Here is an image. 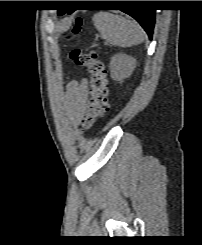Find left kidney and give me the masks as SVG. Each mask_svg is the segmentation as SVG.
Wrapping results in <instances>:
<instances>
[{
    "label": "left kidney",
    "instance_id": "obj_1",
    "mask_svg": "<svg viewBox=\"0 0 202 245\" xmlns=\"http://www.w3.org/2000/svg\"><path fill=\"white\" fill-rule=\"evenodd\" d=\"M135 66L136 60L133 57L123 53L116 54L110 61L111 78L123 82L124 79L132 74Z\"/></svg>",
    "mask_w": 202,
    "mask_h": 245
}]
</instances>
